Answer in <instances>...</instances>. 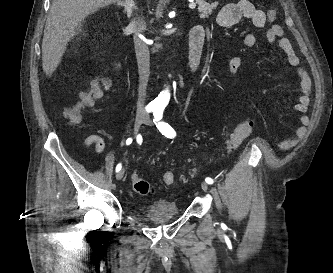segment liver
Returning <instances> with one entry per match:
<instances>
[{
  "instance_id": "1",
  "label": "liver",
  "mask_w": 333,
  "mask_h": 273,
  "mask_svg": "<svg viewBox=\"0 0 333 273\" xmlns=\"http://www.w3.org/2000/svg\"><path fill=\"white\" fill-rule=\"evenodd\" d=\"M121 0H53L42 41V67L51 75L82 22L98 9Z\"/></svg>"
}]
</instances>
